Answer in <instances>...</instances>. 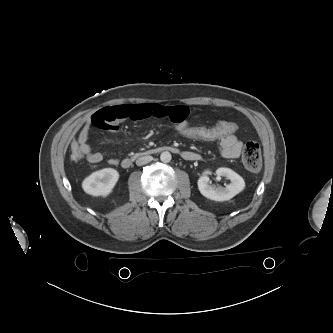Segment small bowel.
<instances>
[{
	"mask_svg": "<svg viewBox=\"0 0 333 333\" xmlns=\"http://www.w3.org/2000/svg\"><path fill=\"white\" fill-rule=\"evenodd\" d=\"M189 110L185 106L162 105L158 103L121 104L95 112L82 127L77 143L80 145L84 157L90 163H100L104 160L102 152H94L89 143V133L92 126L107 130L115 134L119 124L126 119L142 120L150 117L164 118L171 121L175 126H187ZM220 153L224 158L235 159L241 154L243 143L236 134H231L219 141ZM183 157L187 160H195L197 154L186 151ZM119 160L115 157L108 159L110 165H117Z\"/></svg>",
	"mask_w": 333,
	"mask_h": 333,
	"instance_id": "obj_1",
	"label": "small bowel"
}]
</instances>
